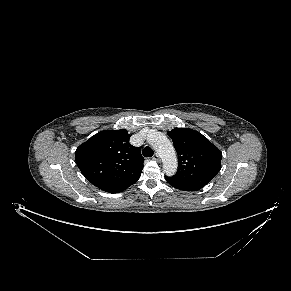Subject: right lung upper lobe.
Here are the masks:
<instances>
[{
  "label": "right lung upper lobe",
  "instance_id": "right-lung-upper-lobe-1",
  "mask_svg": "<svg viewBox=\"0 0 291 291\" xmlns=\"http://www.w3.org/2000/svg\"><path fill=\"white\" fill-rule=\"evenodd\" d=\"M130 136L126 129L104 130L76 149V164L89 182L103 191L119 193L138 181L143 157L129 143Z\"/></svg>",
  "mask_w": 291,
  "mask_h": 291
}]
</instances>
